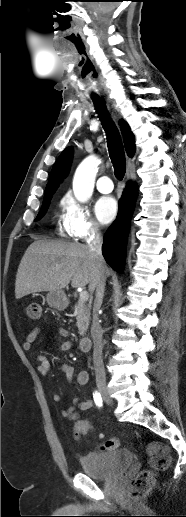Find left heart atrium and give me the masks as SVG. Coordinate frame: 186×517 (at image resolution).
<instances>
[{
	"label": "left heart atrium",
	"instance_id": "left-heart-atrium-1",
	"mask_svg": "<svg viewBox=\"0 0 186 517\" xmlns=\"http://www.w3.org/2000/svg\"><path fill=\"white\" fill-rule=\"evenodd\" d=\"M96 216L102 224L110 223L117 214V202L113 197H101L94 207Z\"/></svg>",
	"mask_w": 186,
	"mask_h": 517
}]
</instances>
